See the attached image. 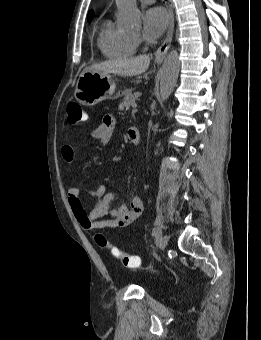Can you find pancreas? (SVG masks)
I'll return each instance as SVG.
<instances>
[{
    "label": "pancreas",
    "mask_w": 261,
    "mask_h": 340,
    "mask_svg": "<svg viewBox=\"0 0 261 340\" xmlns=\"http://www.w3.org/2000/svg\"><path fill=\"white\" fill-rule=\"evenodd\" d=\"M122 95L124 98L119 105V110H127L131 105L135 104V101L140 96V93H132L130 89H127L122 92Z\"/></svg>",
    "instance_id": "cf45deb5"
}]
</instances>
